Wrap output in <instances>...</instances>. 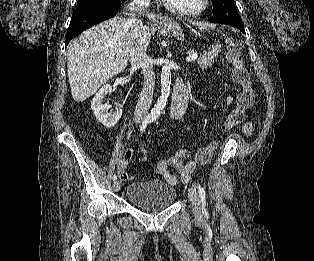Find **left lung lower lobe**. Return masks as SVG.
Segmentation results:
<instances>
[{
	"label": "left lung lower lobe",
	"mask_w": 314,
	"mask_h": 261,
	"mask_svg": "<svg viewBox=\"0 0 314 261\" xmlns=\"http://www.w3.org/2000/svg\"><path fill=\"white\" fill-rule=\"evenodd\" d=\"M231 26H233V27H235V28L241 30L243 33H245L243 24H233V25H231Z\"/></svg>",
	"instance_id": "obj_1"
}]
</instances>
